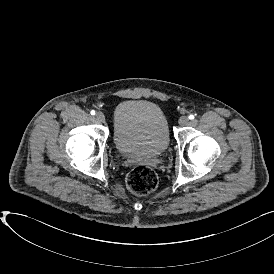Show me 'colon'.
<instances>
[{"instance_id":"5ec220e1","label":"colon","mask_w":274,"mask_h":274,"mask_svg":"<svg viewBox=\"0 0 274 274\" xmlns=\"http://www.w3.org/2000/svg\"><path fill=\"white\" fill-rule=\"evenodd\" d=\"M157 182L156 174L152 169L139 167L128 174L126 185L131 193L144 196L155 190Z\"/></svg>"}]
</instances>
